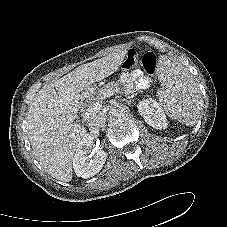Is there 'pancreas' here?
Wrapping results in <instances>:
<instances>
[{"label": "pancreas", "mask_w": 227, "mask_h": 227, "mask_svg": "<svg viewBox=\"0 0 227 227\" xmlns=\"http://www.w3.org/2000/svg\"><path fill=\"white\" fill-rule=\"evenodd\" d=\"M108 91H111V93L120 92L119 84L115 82H109L105 84L100 89H92L87 93V98L90 101V105L92 106L97 101H102L105 97L104 94Z\"/></svg>", "instance_id": "pancreas-1"}]
</instances>
